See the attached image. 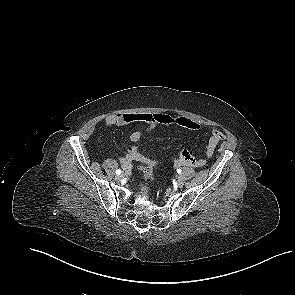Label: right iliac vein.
<instances>
[{
  "label": "right iliac vein",
  "instance_id": "1",
  "mask_svg": "<svg viewBox=\"0 0 295 295\" xmlns=\"http://www.w3.org/2000/svg\"><path fill=\"white\" fill-rule=\"evenodd\" d=\"M123 177H124L123 174H119V175H117V176L115 177V179H116L117 181H121V180L123 179Z\"/></svg>",
  "mask_w": 295,
  "mask_h": 295
}]
</instances>
